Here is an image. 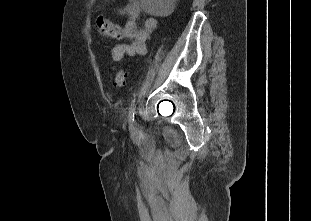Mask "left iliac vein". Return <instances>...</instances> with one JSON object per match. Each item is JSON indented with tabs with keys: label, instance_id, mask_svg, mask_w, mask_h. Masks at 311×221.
Listing matches in <instances>:
<instances>
[{
	"label": "left iliac vein",
	"instance_id": "1",
	"mask_svg": "<svg viewBox=\"0 0 311 221\" xmlns=\"http://www.w3.org/2000/svg\"><path fill=\"white\" fill-rule=\"evenodd\" d=\"M136 125H137L136 123L132 124V125H131V128H132V129H135V128H136Z\"/></svg>",
	"mask_w": 311,
	"mask_h": 221
}]
</instances>
